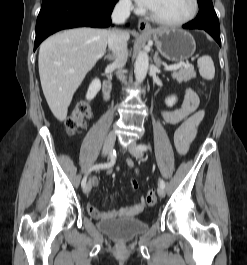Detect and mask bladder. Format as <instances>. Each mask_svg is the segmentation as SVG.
Segmentation results:
<instances>
[{"mask_svg":"<svg viewBox=\"0 0 247 265\" xmlns=\"http://www.w3.org/2000/svg\"><path fill=\"white\" fill-rule=\"evenodd\" d=\"M101 232L116 241H127L144 233L148 224L136 218L102 220L98 223Z\"/></svg>","mask_w":247,"mask_h":265,"instance_id":"obj_1","label":"bladder"}]
</instances>
